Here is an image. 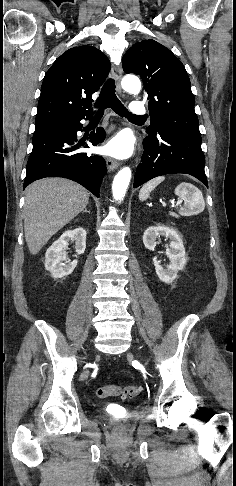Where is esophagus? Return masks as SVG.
Segmentation results:
<instances>
[{"instance_id": "34e87169", "label": "esophagus", "mask_w": 236, "mask_h": 486, "mask_svg": "<svg viewBox=\"0 0 236 486\" xmlns=\"http://www.w3.org/2000/svg\"><path fill=\"white\" fill-rule=\"evenodd\" d=\"M122 66L120 64L112 66V76L116 81V88L119 94H122L121 79H122ZM106 165L109 171H113L118 168L119 162L110 157L106 158Z\"/></svg>"}]
</instances>
